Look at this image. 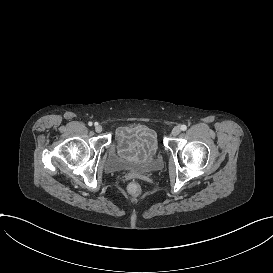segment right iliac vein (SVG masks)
Wrapping results in <instances>:
<instances>
[{"instance_id":"right-iliac-vein-1","label":"right iliac vein","mask_w":273,"mask_h":273,"mask_svg":"<svg viewBox=\"0 0 273 273\" xmlns=\"http://www.w3.org/2000/svg\"><path fill=\"white\" fill-rule=\"evenodd\" d=\"M102 130H103V128H102V126H101V125H99V124H95V131H96L97 133H101V132H102Z\"/></svg>"}]
</instances>
